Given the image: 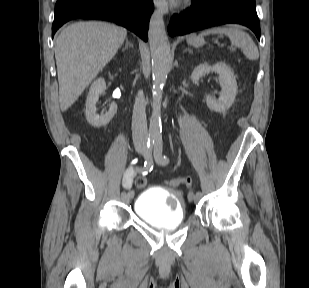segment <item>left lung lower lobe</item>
Here are the masks:
<instances>
[{
  "mask_svg": "<svg viewBox=\"0 0 309 288\" xmlns=\"http://www.w3.org/2000/svg\"><path fill=\"white\" fill-rule=\"evenodd\" d=\"M226 23L247 26L260 40L255 0H192L191 9L172 16L168 32L171 36L184 35Z\"/></svg>",
  "mask_w": 309,
  "mask_h": 288,
  "instance_id": "left-lung-lower-lobe-1",
  "label": "left lung lower lobe"
}]
</instances>
